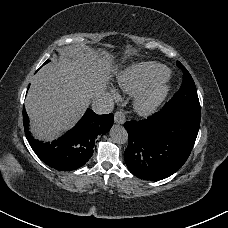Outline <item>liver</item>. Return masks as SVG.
I'll return each instance as SVG.
<instances>
[{
    "label": "liver",
    "instance_id": "1",
    "mask_svg": "<svg viewBox=\"0 0 228 228\" xmlns=\"http://www.w3.org/2000/svg\"><path fill=\"white\" fill-rule=\"evenodd\" d=\"M112 55L105 48L64 49L35 75L25 100L34 138L53 141L71 129L95 94L105 93Z\"/></svg>",
    "mask_w": 228,
    "mask_h": 228
}]
</instances>
